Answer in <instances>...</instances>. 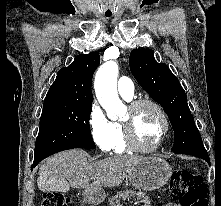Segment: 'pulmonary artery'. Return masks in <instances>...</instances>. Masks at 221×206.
Returning a JSON list of instances; mask_svg holds the SVG:
<instances>
[{
	"instance_id": "1",
	"label": "pulmonary artery",
	"mask_w": 221,
	"mask_h": 206,
	"mask_svg": "<svg viewBox=\"0 0 221 206\" xmlns=\"http://www.w3.org/2000/svg\"><path fill=\"white\" fill-rule=\"evenodd\" d=\"M118 93L126 100H130L134 95V85L128 77H121L117 85Z\"/></svg>"
}]
</instances>
